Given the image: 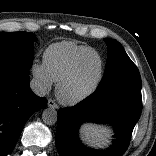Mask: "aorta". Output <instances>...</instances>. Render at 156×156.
<instances>
[{"label": "aorta", "instance_id": "762f6f07", "mask_svg": "<svg viewBox=\"0 0 156 156\" xmlns=\"http://www.w3.org/2000/svg\"><path fill=\"white\" fill-rule=\"evenodd\" d=\"M57 111L52 108H47L42 113L43 122L47 125H53L57 122Z\"/></svg>", "mask_w": 156, "mask_h": 156}]
</instances>
